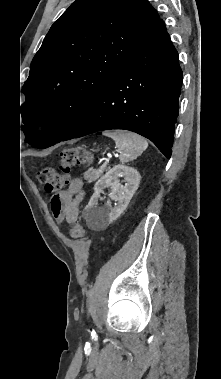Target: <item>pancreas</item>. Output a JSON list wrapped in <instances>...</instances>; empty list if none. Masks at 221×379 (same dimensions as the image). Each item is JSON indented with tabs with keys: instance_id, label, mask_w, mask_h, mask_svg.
<instances>
[{
	"instance_id": "obj_1",
	"label": "pancreas",
	"mask_w": 221,
	"mask_h": 379,
	"mask_svg": "<svg viewBox=\"0 0 221 379\" xmlns=\"http://www.w3.org/2000/svg\"><path fill=\"white\" fill-rule=\"evenodd\" d=\"M103 171L104 167L98 170L91 168L84 173V179L88 182H94L102 175Z\"/></svg>"
}]
</instances>
